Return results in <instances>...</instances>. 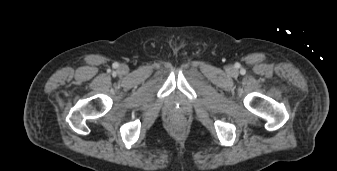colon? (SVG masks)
<instances>
[{
    "mask_svg": "<svg viewBox=\"0 0 337 171\" xmlns=\"http://www.w3.org/2000/svg\"><path fill=\"white\" fill-rule=\"evenodd\" d=\"M169 125L174 129H181L183 126V121L180 119L169 120Z\"/></svg>",
    "mask_w": 337,
    "mask_h": 171,
    "instance_id": "obj_1",
    "label": "colon"
}]
</instances>
